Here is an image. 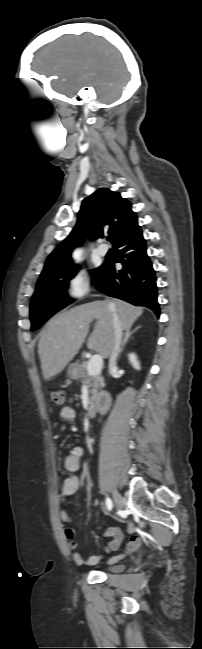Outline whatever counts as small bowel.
<instances>
[{"label":"small bowel","mask_w":202,"mask_h":649,"mask_svg":"<svg viewBox=\"0 0 202 649\" xmlns=\"http://www.w3.org/2000/svg\"><path fill=\"white\" fill-rule=\"evenodd\" d=\"M75 410L71 406H65L60 410L59 418L61 422H70L75 418ZM83 455V449L79 446L73 448L71 452L65 457L64 467L66 471L70 473H77L81 468V459ZM80 487V480L75 475L68 476L62 485L60 491V500L66 501L72 495H74ZM60 518L63 524L68 525L72 522V518L67 509H62L60 512ZM105 538H110L105 550L106 552L116 551L123 540V533L118 527H111L102 534ZM64 537L68 541L67 546L70 550L74 551L78 547V542L75 540L74 530L71 528H66L64 530ZM124 554H119L108 558L104 561L102 555H90L84 556L79 552H74L72 557L74 562L78 566H96L99 564H114L118 562Z\"/></svg>","instance_id":"c3829d8e"}]
</instances>
